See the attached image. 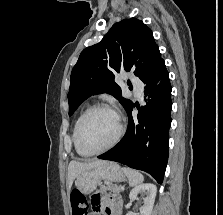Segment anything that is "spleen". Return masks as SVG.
Returning a JSON list of instances; mask_svg holds the SVG:
<instances>
[{
  "instance_id": "spleen-1",
  "label": "spleen",
  "mask_w": 223,
  "mask_h": 215,
  "mask_svg": "<svg viewBox=\"0 0 223 215\" xmlns=\"http://www.w3.org/2000/svg\"><path fill=\"white\" fill-rule=\"evenodd\" d=\"M122 171H124L125 175H127L129 185H138V183H142V181H144L142 173L135 171V169H130V167H122Z\"/></svg>"
}]
</instances>
